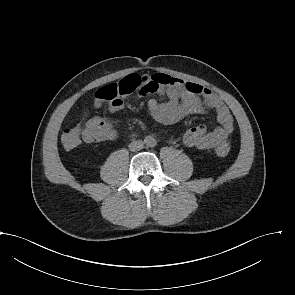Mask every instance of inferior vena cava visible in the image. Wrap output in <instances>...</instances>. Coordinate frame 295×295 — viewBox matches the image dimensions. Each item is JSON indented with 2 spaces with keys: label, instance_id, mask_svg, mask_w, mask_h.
Segmentation results:
<instances>
[{
  "label": "inferior vena cava",
  "instance_id": "inferior-vena-cava-1",
  "mask_svg": "<svg viewBox=\"0 0 295 295\" xmlns=\"http://www.w3.org/2000/svg\"><path fill=\"white\" fill-rule=\"evenodd\" d=\"M143 147H144V143L142 140L132 141L129 144V149L133 152L140 151L141 149H143Z\"/></svg>",
  "mask_w": 295,
  "mask_h": 295
}]
</instances>
